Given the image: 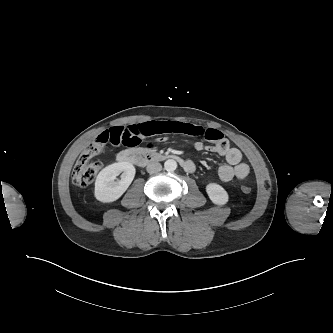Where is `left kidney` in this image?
Listing matches in <instances>:
<instances>
[{"instance_id": "5707ae66", "label": "left kidney", "mask_w": 333, "mask_h": 333, "mask_svg": "<svg viewBox=\"0 0 333 333\" xmlns=\"http://www.w3.org/2000/svg\"><path fill=\"white\" fill-rule=\"evenodd\" d=\"M206 192L210 200L216 205H225L229 196L227 191L219 184L210 183L206 186Z\"/></svg>"}]
</instances>
